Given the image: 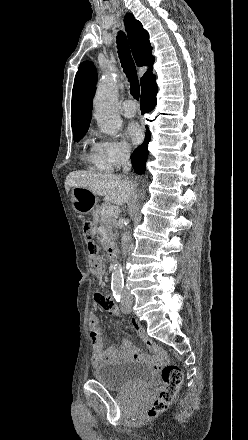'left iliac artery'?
Returning <instances> with one entry per match:
<instances>
[{
    "mask_svg": "<svg viewBox=\"0 0 248 440\" xmlns=\"http://www.w3.org/2000/svg\"><path fill=\"white\" fill-rule=\"evenodd\" d=\"M113 290V296L116 299L117 302H120V298H121V289H112Z\"/></svg>",
    "mask_w": 248,
    "mask_h": 440,
    "instance_id": "1",
    "label": "left iliac artery"
}]
</instances>
